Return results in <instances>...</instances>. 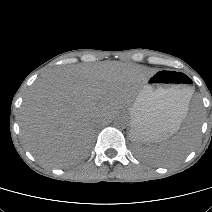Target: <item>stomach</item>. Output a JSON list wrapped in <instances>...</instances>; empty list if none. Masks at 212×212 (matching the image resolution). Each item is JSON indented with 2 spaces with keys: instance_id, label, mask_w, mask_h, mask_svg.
Instances as JSON below:
<instances>
[{
  "instance_id": "0dacf381",
  "label": "stomach",
  "mask_w": 212,
  "mask_h": 212,
  "mask_svg": "<svg viewBox=\"0 0 212 212\" xmlns=\"http://www.w3.org/2000/svg\"><path fill=\"white\" fill-rule=\"evenodd\" d=\"M188 83L178 71L160 70L147 79L130 108L134 144L164 142L177 132L193 93Z\"/></svg>"
}]
</instances>
